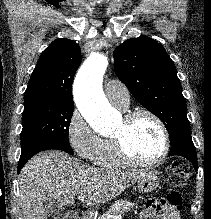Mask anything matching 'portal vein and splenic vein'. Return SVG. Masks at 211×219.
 Returning <instances> with one entry per match:
<instances>
[{
	"label": "portal vein and splenic vein",
	"instance_id": "1",
	"mask_svg": "<svg viewBox=\"0 0 211 219\" xmlns=\"http://www.w3.org/2000/svg\"><path fill=\"white\" fill-rule=\"evenodd\" d=\"M85 198H86V194L85 193L79 194V196H78V199L80 201H84ZM112 219H122V216L121 215L114 216V217H112Z\"/></svg>",
	"mask_w": 211,
	"mask_h": 219
}]
</instances>
